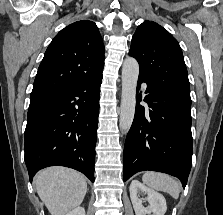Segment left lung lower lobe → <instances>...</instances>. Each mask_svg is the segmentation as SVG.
<instances>
[{"label": "left lung lower lobe", "instance_id": "1", "mask_svg": "<svg viewBox=\"0 0 223 215\" xmlns=\"http://www.w3.org/2000/svg\"><path fill=\"white\" fill-rule=\"evenodd\" d=\"M145 110L136 95L135 117L124 147V181L140 171H158L179 178L183 188L192 166L191 98L143 77ZM139 85L137 86V91Z\"/></svg>", "mask_w": 223, "mask_h": 215}]
</instances>
